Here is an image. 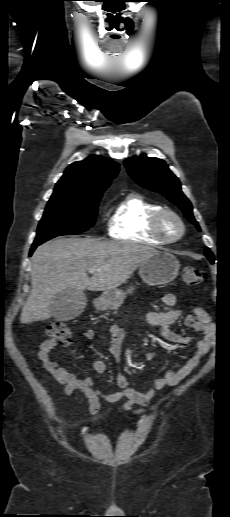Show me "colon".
I'll return each instance as SVG.
<instances>
[{"mask_svg":"<svg viewBox=\"0 0 230 517\" xmlns=\"http://www.w3.org/2000/svg\"><path fill=\"white\" fill-rule=\"evenodd\" d=\"M205 278L204 272L197 267L187 266L182 271V279L187 285H198ZM47 334L58 341L70 342L72 339L69 328L63 322H53L47 326Z\"/></svg>","mask_w":230,"mask_h":517,"instance_id":"1","label":"colon"}]
</instances>
